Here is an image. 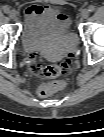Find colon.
Returning <instances> with one entry per match:
<instances>
[{"instance_id": "colon-1", "label": "colon", "mask_w": 104, "mask_h": 137, "mask_svg": "<svg viewBox=\"0 0 104 137\" xmlns=\"http://www.w3.org/2000/svg\"><path fill=\"white\" fill-rule=\"evenodd\" d=\"M31 68L34 72L46 78H55L66 71L71 65V59L65 58L57 64H46L35 54L30 55ZM58 89L54 84H43L38 88V94L42 97L51 96Z\"/></svg>"}]
</instances>
